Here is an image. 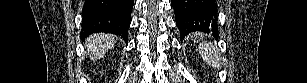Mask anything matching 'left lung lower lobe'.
<instances>
[{"label":"left lung lower lobe","instance_id":"0a47b994","mask_svg":"<svg viewBox=\"0 0 307 83\" xmlns=\"http://www.w3.org/2000/svg\"><path fill=\"white\" fill-rule=\"evenodd\" d=\"M180 39L201 31L218 37L217 3L215 0H171Z\"/></svg>","mask_w":307,"mask_h":83}]
</instances>
